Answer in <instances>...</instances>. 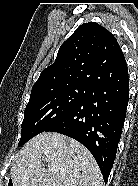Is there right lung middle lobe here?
Instances as JSON below:
<instances>
[{
	"label": "right lung middle lobe",
	"instance_id": "1",
	"mask_svg": "<svg viewBox=\"0 0 138 186\" xmlns=\"http://www.w3.org/2000/svg\"><path fill=\"white\" fill-rule=\"evenodd\" d=\"M88 89L81 85H69L32 93L25 108L18 146L69 114L84 100Z\"/></svg>",
	"mask_w": 138,
	"mask_h": 186
}]
</instances>
